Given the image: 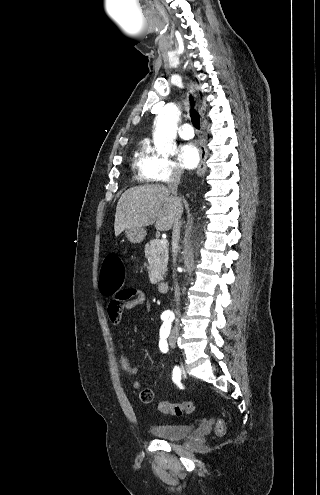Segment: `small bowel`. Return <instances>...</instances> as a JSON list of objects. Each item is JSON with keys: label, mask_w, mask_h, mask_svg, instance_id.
I'll return each mask as SVG.
<instances>
[{"label": "small bowel", "mask_w": 320, "mask_h": 495, "mask_svg": "<svg viewBox=\"0 0 320 495\" xmlns=\"http://www.w3.org/2000/svg\"><path fill=\"white\" fill-rule=\"evenodd\" d=\"M121 291L126 292L128 294L127 298L123 302H119L117 293L113 294L109 304H108V316L111 324L118 328L122 323L123 314L126 311H130L135 307L140 305H145L147 310L150 309V302L147 299L146 293L143 290L136 288H125ZM125 345L124 342H119V362L123 371L130 375L134 376L138 373V368L131 364L128 357L125 355ZM132 387L134 389H140L141 384L139 381H133Z\"/></svg>", "instance_id": "small-bowel-1"}]
</instances>
